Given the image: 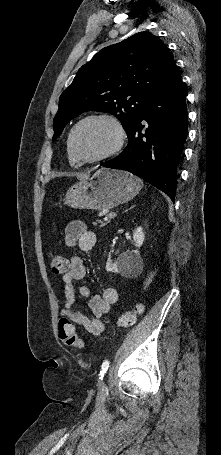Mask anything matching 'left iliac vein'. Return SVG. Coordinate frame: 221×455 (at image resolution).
<instances>
[{
    "mask_svg": "<svg viewBox=\"0 0 221 455\" xmlns=\"http://www.w3.org/2000/svg\"><path fill=\"white\" fill-rule=\"evenodd\" d=\"M99 390H100L102 393H104V392L106 391L105 384H104L103 381L100 383Z\"/></svg>",
    "mask_w": 221,
    "mask_h": 455,
    "instance_id": "1",
    "label": "left iliac vein"
}]
</instances>
